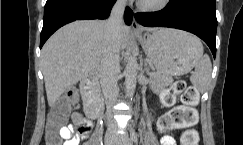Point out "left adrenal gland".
<instances>
[{"label": "left adrenal gland", "instance_id": "1", "mask_svg": "<svg viewBox=\"0 0 243 145\" xmlns=\"http://www.w3.org/2000/svg\"><path fill=\"white\" fill-rule=\"evenodd\" d=\"M146 72H148L149 71V69L147 68V67H145V69H144Z\"/></svg>", "mask_w": 243, "mask_h": 145}]
</instances>
